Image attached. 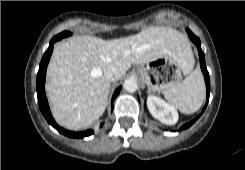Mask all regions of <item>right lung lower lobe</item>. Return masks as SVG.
Segmentation results:
<instances>
[{
    "instance_id": "obj_1",
    "label": "right lung lower lobe",
    "mask_w": 245,
    "mask_h": 170,
    "mask_svg": "<svg viewBox=\"0 0 245 170\" xmlns=\"http://www.w3.org/2000/svg\"><path fill=\"white\" fill-rule=\"evenodd\" d=\"M58 40H60V39H58V37L55 36L50 41L49 48L47 49V51L43 55V58L40 62L39 71L37 74V96H38L39 108H40L43 116L47 120V122L50 125H52L55 129H57L60 133L66 135L68 137H72V138H83L85 136H89V135L93 134V130H87L84 132H72V131H68V130H65V129L59 127L51 115V112H50V109L48 106V102H47V98L45 95L44 85H45L46 68H47L48 62L50 60L52 51H53V45ZM120 90H121V86L115 90V92L113 94L112 102H113V99L118 95ZM102 125L103 124H101L100 127H102Z\"/></svg>"
}]
</instances>
